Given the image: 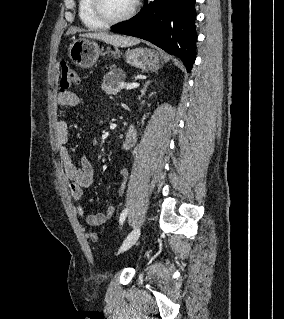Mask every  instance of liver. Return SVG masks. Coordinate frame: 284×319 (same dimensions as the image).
Here are the masks:
<instances>
[{
  "label": "liver",
  "mask_w": 284,
  "mask_h": 319,
  "mask_svg": "<svg viewBox=\"0 0 284 319\" xmlns=\"http://www.w3.org/2000/svg\"><path fill=\"white\" fill-rule=\"evenodd\" d=\"M80 36L85 38L102 40L115 47H128V46L136 45L140 42V40L137 38L121 36L118 34H109L106 32L84 33V34H81Z\"/></svg>",
  "instance_id": "6515ba94"
}]
</instances>
